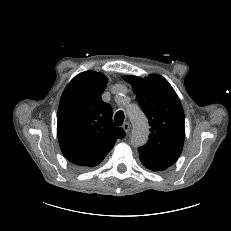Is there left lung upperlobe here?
Returning a JSON list of instances; mask_svg holds the SVG:
<instances>
[{"label": "left lung upper lobe", "instance_id": "obj_1", "mask_svg": "<svg viewBox=\"0 0 231 231\" xmlns=\"http://www.w3.org/2000/svg\"><path fill=\"white\" fill-rule=\"evenodd\" d=\"M124 80L132 85L151 126L147 144L138 148L140 159L150 165H173L182 152L185 138L184 111L176 92L157 74L144 79L127 75Z\"/></svg>", "mask_w": 231, "mask_h": 231}]
</instances>
